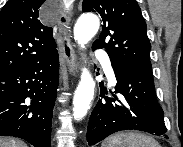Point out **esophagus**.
Segmentation results:
<instances>
[{
  "instance_id": "esophagus-1",
  "label": "esophagus",
  "mask_w": 183,
  "mask_h": 147,
  "mask_svg": "<svg viewBox=\"0 0 183 147\" xmlns=\"http://www.w3.org/2000/svg\"><path fill=\"white\" fill-rule=\"evenodd\" d=\"M71 13L63 11L60 18L59 32L62 35V52L70 74L77 71V54L70 34Z\"/></svg>"
}]
</instances>
